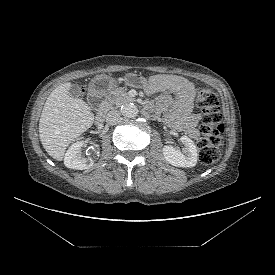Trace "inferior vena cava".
Instances as JSON below:
<instances>
[{"label": "inferior vena cava", "instance_id": "602c4592", "mask_svg": "<svg viewBox=\"0 0 275 275\" xmlns=\"http://www.w3.org/2000/svg\"><path fill=\"white\" fill-rule=\"evenodd\" d=\"M120 119V112L118 110H111L106 115V123L108 125H115Z\"/></svg>", "mask_w": 275, "mask_h": 275}]
</instances>
